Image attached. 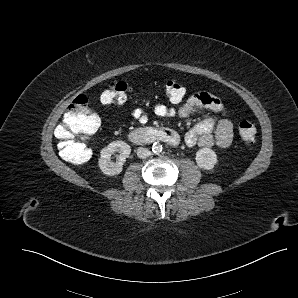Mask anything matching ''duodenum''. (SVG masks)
I'll return each mask as SVG.
<instances>
[{"label": "duodenum", "mask_w": 298, "mask_h": 298, "mask_svg": "<svg viewBox=\"0 0 298 298\" xmlns=\"http://www.w3.org/2000/svg\"><path fill=\"white\" fill-rule=\"evenodd\" d=\"M129 140L138 145L154 142H163L171 146L179 143L178 134L168 128H143L131 131L128 134Z\"/></svg>", "instance_id": "obj_1"}]
</instances>
